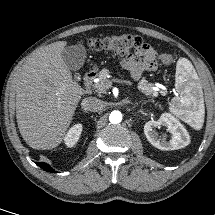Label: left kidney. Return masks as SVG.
I'll return each instance as SVG.
<instances>
[{
	"label": "left kidney",
	"mask_w": 215,
	"mask_h": 215,
	"mask_svg": "<svg viewBox=\"0 0 215 215\" xmlns=\"http://www.w3.org/2000/svg\"><path fill=\"white\" fill-rule=\"evenodd\" d=\"M161 126L171 132L172 137L166 141L165 137L159 136L156 128ZM144 133L148 141L160 150L181 149L190 143V136L184 126L170 113H164L157 121H148L144 125Z\"/></svg>",
	"instance_id": "left-kidney-1"
}]
</instances>
